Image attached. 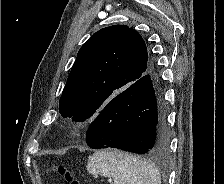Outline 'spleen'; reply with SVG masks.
<instances>
[{"instance_id":"spleen-1","label":"spleen","mask_w":224,"mask_h":184,"mask_svg":"<svg viewBox=\"0 0 224 184\" xmlns=\"http://www.w3.org/2000/svg\"><path fill=\"white\" fill-rule=\"evenodd\" d=\"M86 167L92 175L112 177L114 184H161L159 170L152 163L121 151H96Z\"/></svg>"}]
</instances>
